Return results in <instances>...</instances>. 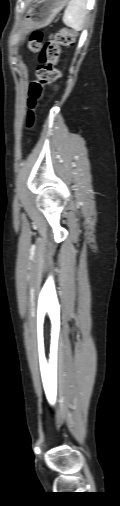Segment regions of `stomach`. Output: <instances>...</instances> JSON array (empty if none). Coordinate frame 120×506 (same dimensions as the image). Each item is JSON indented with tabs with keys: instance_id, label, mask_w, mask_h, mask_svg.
Masks as SVG:
<instances>
[{
	"instance_id": "obj_1",
	"label": "stomach",
	"mask_w": 120,
	"mask_h": 506,
	"mask_svg": "<svg viewBox=\"0 0 120 506\" xmlns=\"http://www.w3.org/2000/svg\"><path fill=\"white\" fill-rule=\"evenodd\" d=\"M67 3L68 0H33L25 17L23 33L49 25Z\"/></svg>"
}]
</instances>
